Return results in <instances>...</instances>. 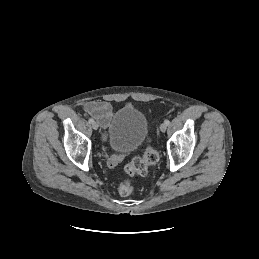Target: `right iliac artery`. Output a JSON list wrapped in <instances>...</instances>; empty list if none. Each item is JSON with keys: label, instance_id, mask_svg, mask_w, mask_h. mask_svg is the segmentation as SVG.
<instances>
[{"label": "right iliac artery", "instance_id": "right-iliac-artery-1", "mask_svg": "<svg viewBox=\"0 0 259 259\" xmlns=\"http://www.w3.org/2000/svg\"><path fill=\"white\" fill-rule=\"evenodd\" d=\"M88 121H89V123H91V124L94 122V120H93L92 118H89Z\"/></svg>", "mask_w": 259, "mask_h": 259}]
</instances>
